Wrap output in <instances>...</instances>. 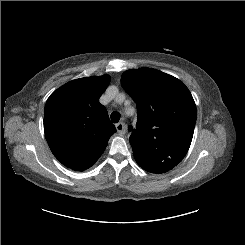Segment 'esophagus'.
<instances>
[{"mask_svg": "<svg viewBox=\"0 0 245 245\" xmlns=\"http://www.w3.org/2000/svg\"><path fill=\"white\" fill-rule=\"evenodd\" d=\"M115 127H116L117 132L120 134H124L126 132V127L124 123L122 122H119L118 124H116Z\"/></svg>", "mask_w": 245, "mask_h": 245, "instance_id": "1", "label": "esophagus"}]
</instances>
